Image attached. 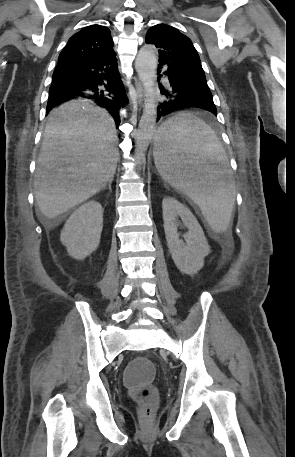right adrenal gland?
<instances>
[{"label":"right adrenal gland","instance_id":"1","mask_svg":"<svg viewBox=\"0 0 295 457\" xmlns=\"http://www.w3.org/2000/svg\"><path fill=\"white\" fill-rule=\"evenodd\" d=\"M112 181H113V179H111V180L108 182V189H109L110 192H112V188H111ZM106 188H107V186H104V187H103V190L106 189Z\"/></svg>","mask_w":295,"mask_h":457}]
</instances>
